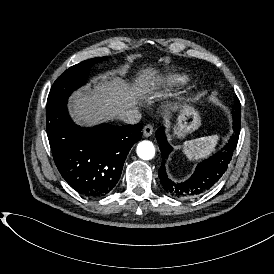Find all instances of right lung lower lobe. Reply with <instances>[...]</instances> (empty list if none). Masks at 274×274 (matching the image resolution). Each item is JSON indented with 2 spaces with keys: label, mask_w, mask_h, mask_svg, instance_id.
I'll return each instance as SVG.
<instances>
[{
  "label": "right lung lower lobe",
  "mask_w": 274,
  "mask_h": 274,
  "mask_svg": "<svg viewBox=\"0 0 274 274\" xmlns=\"http://www.w3.org/2000/svg\"><path fill=\"white\" fill-rule=\"evenodd\" d=\"M142 127L106 123L79 127L68 114L67 100L46 112L54 162L69 185L86 197H103L114 190L131 147L142 137Z\"/></svg>",
  "instance_id": "right-lung-lower-lobe-1"
}]
</instances>
